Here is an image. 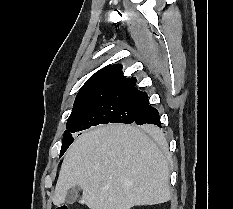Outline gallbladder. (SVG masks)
Here are the masks:
<instances>
[{"label": "gallbladder", "instance_id": "1", "mask_svg": "<svg viewBox=\"0 0 233 209\" xmlns=\"http://www.w3.org/2000/svg\"><path fill=\"white\" fill-rule=\"evenodd\" d=\"M79 190H80V187L75 186L68 191L67 196H66V202L68 204H73L77 200Z\"/></svg>", "mask_w": 233, "mask_h": 209}]
</instances>
